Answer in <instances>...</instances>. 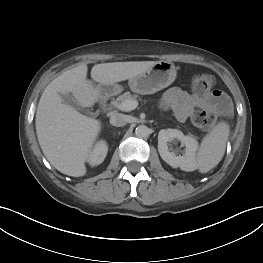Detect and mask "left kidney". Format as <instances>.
I'll list each match as a JSON object with an SVG mask.
<instances>
[{
    "instance_id": "1",
    "label": "left kidney",
    "mask_w": 263,
    "mask_h": 263,
    "mask_svg": "<svg viewBox=\"0 0 263 263\" xmlns=\"http://www.w3.org/2000/svg\"><path fill=\"white\" fill-rule=\"evenodd\" d=\"M174 139L185 145L183 155L177 156L169 149V143ZM198 141L192 136H185L177 129H162L158 134V151L161 158L170 166L179 167L183 171H194L197 168L196 151Z\"/></svg>"
}]
</instances>
